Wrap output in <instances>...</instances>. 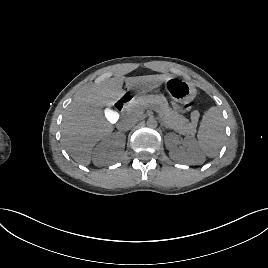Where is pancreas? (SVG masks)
Instances as JSON below:
<instances>
[{"label": "pancreas", "instance_id": "pancreas-1", "mask_svg": "<svg viewBox=\"0 0 268 268\" xmlns=\"http://www.w3.org/2000/svg\"><path fill=\"white\" fill-rule=\"evenodd\" d=\"M147 107H153L168 128L188 136H194L196 133L197 123L194 121L189 122L183 115L170 108L167 99L163 95L140 96L129 105V112L139 115Z\"/></svg>", "mask_w": 268, "mask_h": 268}]
</instances>
